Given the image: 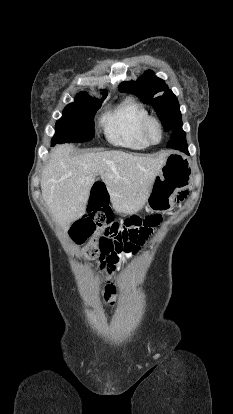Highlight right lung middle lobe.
I'll return each mask as SVG.
<instances>
[{"label":"right lung middle lobe","instance_id":"obj_1","mask_svg":"<svg viewBox=\"0 0 233 414\" xmlns=\"http://www.w3.org/2000/svg\"><path fill=\"white\" fill-rule=\"evenodd\" d=\"M102 101L92 100L86 95L78 94L75 102L67 105L61 119L56 122L54 143L84 142L94 137V120L96 111Z\"/></svg>","mask_w":233,"mask_h":414}]
</instances>
